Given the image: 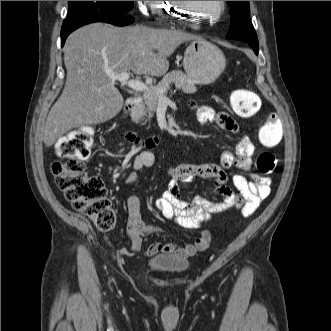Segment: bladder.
I'll list each match as a JSON object with an SVG mask.
<instances>
[{"label": "bladder", "instance_id": "obj_1", "mask_svg": "<svg viewBox=\"0 0 331 331\" xmlns=\"http://www.w3.org/2000/svg\"><path fill=\"white\" fill-rule=\"evenodd\" d=\"M147 265L157 273L178 274L188 269L189 261L172 254H157L149 258Z\"/></svg>", "mask_w": 331, "mask_h": 331}]
</instances>
